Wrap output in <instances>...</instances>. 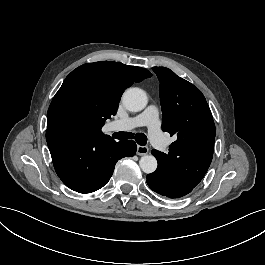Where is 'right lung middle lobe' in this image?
Instances as JSON below:
<instances>
[{
	"instance_id": "obj_1",
	"label": "right lung middle lobe",
	"mask_w": 265,
	"mask_h": 265,
	"mask_svg": "<svg viewBox=\"0 0 265 265\" xmlns=\"http://www.w3.org/2000/svg\"><path fill=\"white\" fill-rule=\"evenodd\" d=\"M110 111L97 95L80 86L56 93L47 113V129L98 134Z\"/></svg>"
}]
</instances>
